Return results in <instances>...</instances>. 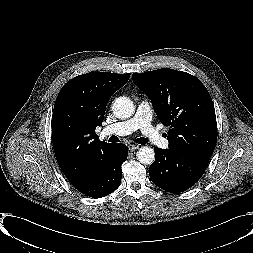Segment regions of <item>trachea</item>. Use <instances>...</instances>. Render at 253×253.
<instances>
[{
  "mask_svg": "<svg viewBox=\"0 0 253 253\" xmlns=\"http://www.w3.org/2000/svg\"><path fill=\"white\" fill-rule=\"evenodd\" d=\"M120 140L116 137V136H111L109 138V142H119ZM136 143L144 145L146 144L148 141L146 138L140 137L138 139L135 140Z\"/></svg>",
  "mask_w": 253,
  "mask_h": 253,
  "instance_id": "3493384b",
  "label": "trachea"
}]
</instances>
